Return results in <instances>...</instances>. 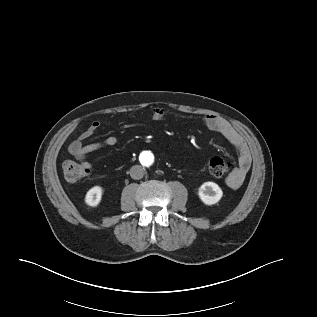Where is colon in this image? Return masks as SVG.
<instances>
[{"instance_id":"1","label":"colon","mask_w":317,"mask_h":317,"mask_svg":"<svg viewBox=\"0 0 317 317\" xmlns=\"http://www.w3.org/2000/svg\"><path fill=\"white\" fill-rule=\"evenodd\" d=\"M65 178L70 182H77L89 174V168L67 160L62 165ZM207 170L212 177L220 178L226 175L230 170V162L221 157H213L207 163Z\"/></svg>"}]
</instances>
